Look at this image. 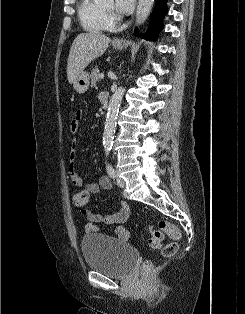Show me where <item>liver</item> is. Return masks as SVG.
<instances>
[{
	"label": "liver",
	"mask_w": 245,
	"mask_h": 314,
	"mask_svg": "<svg viewBox=\"0 0 245 314\" xmlns=\"http://www.w3.org/2000/svg\"><path fill=\"white\" fill-rule=\"evenodd\" d=\"M109 43L110 38L101 33L87 32L77 35L67 61V78L70 84L91 61L105 53Z\"/></svg>",
	"instance_id": "1"
}]
</instances>
